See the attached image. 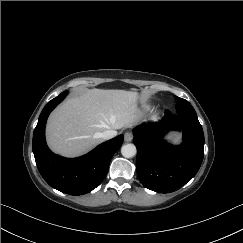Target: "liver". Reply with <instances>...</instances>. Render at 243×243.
I'll return each mask as SVG.
<instances>
[{
  "instance_id": "1",
  "label": "liver",
  "mask_w": 243,
  "mask_h": 243,
  "mask_svg": "<svg viewBox=\"0 0 243 243\" xmlns=\"http://www.w3.org/2000/svg\"><path fill=\"white\" fill-rule=\"evenodd\" d=\"M137 92L87 89L59 105L49 116L46 139L55 153L75 157L102 142L105 130L132 127L138 122Z\"/></svg>"
}]
</instances>
